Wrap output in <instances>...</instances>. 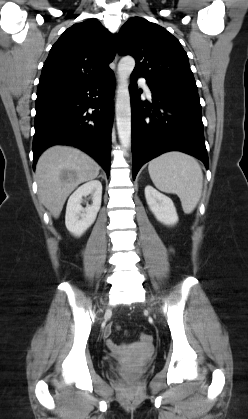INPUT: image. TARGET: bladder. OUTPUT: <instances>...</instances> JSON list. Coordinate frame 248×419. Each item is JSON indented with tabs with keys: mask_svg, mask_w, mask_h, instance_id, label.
<instances>
[{
	"mask_svg": "<svg viewBox=\"0 0 248 419\" xmlns=\"http://www.w3.org/2000/svg\"><path fill=\"white\" fill-rule=\"evenodd\" d=\"M113 371H114L115 374H117V370L116 369H114Z\"/></svg>",
	"mask_w": 248,
	"mask_h": 419,
	"instance_id": "obj_1",
	"label": "bladder"
}]
</instances>
